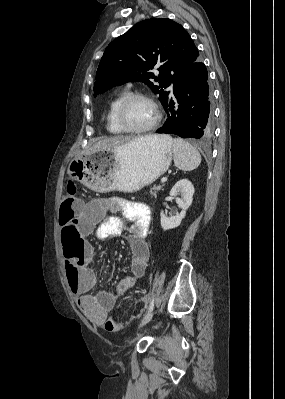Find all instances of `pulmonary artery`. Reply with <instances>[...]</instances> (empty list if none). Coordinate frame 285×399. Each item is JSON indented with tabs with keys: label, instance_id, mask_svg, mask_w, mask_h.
Segmentation results:
<instances>
[{
	"label": "pulmonary artery",
	"instance_id": "1",
	"mask_svg": "<svg viewBox=\"0 0 285 399\" xmlns=\"http://www.w3.org/2000/svg\"><path fill=\"white\" fill-rule=\"evenodd\" d=\"M170 89H171V90L173 89V85H170Z\"/></svg>",
	"mask_w": 285,
	"mask_h": 399
}]
</instances>
